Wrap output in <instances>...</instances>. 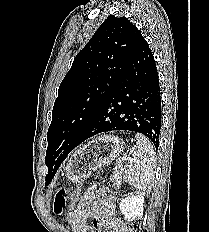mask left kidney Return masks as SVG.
I'll use <instances>...</instances> for the list:
<instances>
[{
	"label": "left kidney",
	"instance_id": "obj_1",
	"mask_svg": "<svg viewBox=\"0 0 209 232\" xmlns=\"http://www.w3.org/2000/svg\"><path fill=\"white\" fill-rule=\"evenodd\" d=\"M144 193H129L119 204V209L125 219H139L143 216Z\"/></svg>",
	"mask_w": 209,
	"mask_h": 232
}]
</instances>
